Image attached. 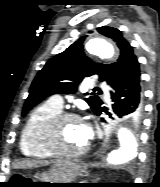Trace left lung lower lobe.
<instances>
[{"instance_id": "left-lung-lower-lobe-1", "label": "left lung lower lobe", "mask_w": 160, "mask_h": 187, "mask_svg": "<svg viewBox=\"0 0 160 187\" xmlns=\"http://www.w3.org/2000/svg\"><path fill=\"white\" fill-rule=\"evenodd\" d=\"M140 66L135 56L129 63L124 74L111 85V113L120 118L130 119L139 123L143 113V92L141 86ZM106 107L101 105L98 113L110 114Z\"/></svg>"}]
</instances>
